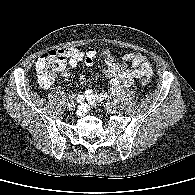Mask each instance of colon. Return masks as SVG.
I'll use <instances>...</instances> for the list:
<instances>
[{"label":"colon","mask_w":195,"mask_h":195,"mask_svg":"<svg viewBox=\"0 0 195 195\" xmlns=\"http://www.w3.org/2000/svg\"><path fill=\"white\" fill-rule=\"evenodd\" d=\"M66 58L56 51H50L42 54L36 62V70L38 79L42 86H50L55 78L62 73L66 66ZM150 80L146 78L141 79V84L149 85Z\"/></svg>","instance_id":"colon-1"}]
</instances>
